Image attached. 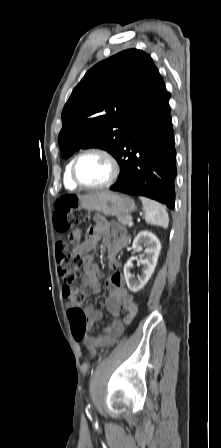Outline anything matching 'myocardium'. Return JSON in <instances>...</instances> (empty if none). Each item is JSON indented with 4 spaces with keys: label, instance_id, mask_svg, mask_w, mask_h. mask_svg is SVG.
<instances>
[{
    "label": "myocardium",
    "instance_id": "f54148a6",
    "mask_svg": "<svg viewBox=\"0 0 221 448\" xmlns=\"http://www.w3.org/2000/svg\"><path fill=\"white\" fill-rule=\"evenodd\" d=\"M89 154H99V155L105 157L106 160L108 161L112 173H111L110 178L106 182H104L102 184H97V185L86 184V183L82 182L80 180V178L78 177V175H77L78 163L83 157H85ZM119 175H120V164H119L118 160L111 152H109L108 150L102 149V148H91V149H87V150L81 152L74 158L72 165H71V169H70V177H71V180L73 181V183L81 188H84V189L108 188V187L112 186L118 180Z\"/></svg>",
    "mask_w": 221,
    "mask_h": 448
}]
</instances>
